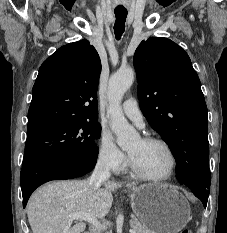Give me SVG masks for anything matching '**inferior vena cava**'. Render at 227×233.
I'll return each mask as SVG.
<instances>
[{
	"mask_svg": "<svg viewBox=\"0 0 227 233\" xmlns=\"http://www.w3.org/2000/svg\"><path fill=\"white\" fill-rule=\"evenodd\" d=\"M110 177V165L107 158H99L94 171L90 177L89 183L94 188L100 187L102 182Z\"/></svg>",
	"mask_w": 227,
	"mask_h": 233,
	"instance_id": "602c4592",
	"label": "inferior vena cava"
}]
</instances>
